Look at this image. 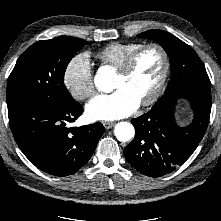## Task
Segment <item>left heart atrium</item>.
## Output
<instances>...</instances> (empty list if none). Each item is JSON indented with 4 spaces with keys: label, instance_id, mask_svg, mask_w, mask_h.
I'll return each instance as SVG.
<instances>
[{
    "label": "left heart atrium",
    "instance_id": "39dd6f15",
    "mask_svg": "<svg viewBox=\"0 0 221 221\" xmlns=\"http://www.w3.org/2000/svg\"><path fill=\"white\" fill-rule=\"evenodd\" d=\"M139 102L126 90L116 89L110 94H98L86 105L91 120H115L132 114Z\"/></svg>",
    "mask_w": 221,
    "mask_h": 221
}]
</instances>
